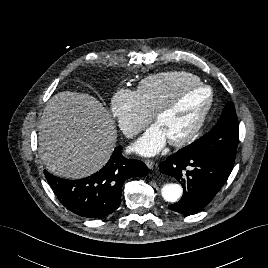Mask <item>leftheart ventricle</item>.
<instances>
[{
	"label": "left heart ventricle",
	"mask_w": 268,
	"mask_h": 268,
	"mask_svg": "<svg viewBox=\"0 0 268 268\" xmlns=\"http://www.w3.org/2000/svg\"><path fill=\"white\" fill-rule=\"evenodd\" d=\"M207 97V90L197 88L180 95L177 106L157 122L167 140L180 138L193 126Z\"/></svg>",
	"instance_id": "obj_1"
}]
</instances>
